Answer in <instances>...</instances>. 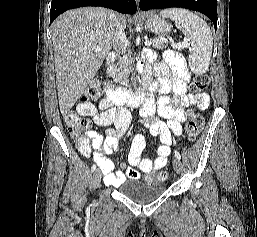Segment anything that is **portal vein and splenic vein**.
<instances>
[{
  "label": "portal vein and splenic vein",
  "mask_w": 257,
  "mask_h": 237,
  "mask_svg": "<svg viewBox=\"0 0 257 237\" xmlns=\"http://www.w3.org/2000/svg\"><path fill=\"white\" fill-rule=\"evenodd\" d=\"M160 40L163 42H168L167 39H164V38H161ZM151 44H152L151 41H145L146 46H150ZM172 47L175 49H181L184 47H188V42H187V40H184L183 42H180V43H173Z\"/></svg>",
  "instance_id": "18ae733b"
}]
</instances>
